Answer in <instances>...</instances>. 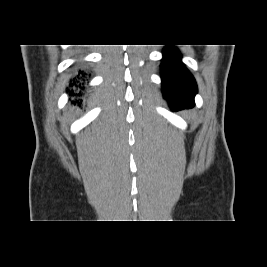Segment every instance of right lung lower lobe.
Segmentation results:
<instances>
[{"label":"right lung lower lobe","instance_id":"right-lung-lower-lobe-1","mask_svg":"<svg viewBox=\"0 0 267 267\" xmlns=\"http://www.w3.org/2000/svg\"><path fill=\"white\" fill-rule=\"evenodd\" d=\"M87 76L90 77V74L80 68L74 70V75L68 82L66 92L70 97L74 98V101H72L74 104L77 103L79 105L80 103H82L80 97L85 90V82L87 81Z\"/></svg>","mask_w":267,"mask_h":267}]
</instances>
